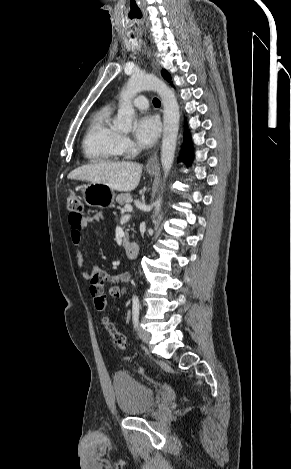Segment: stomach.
Instances as JSON below:
<instances>
[{
  "label": "stomach",
  "instance_id": "obj_1",
  "mask_svg": "<svg viewBox=\"0 0 291 469\" xmlns=\"http://www.w3.org/2000/svg\"><path fill=\"white\" fill-rule=\"evenodd\" d=\"M156 170H148L150 175L156 174ZM83 199L91 207L106 208L114 203V190L102 183H89L83 187Z\"/></svg>",
  "mask_w": 291,
  "mask_h": 469
}]
</instances>
